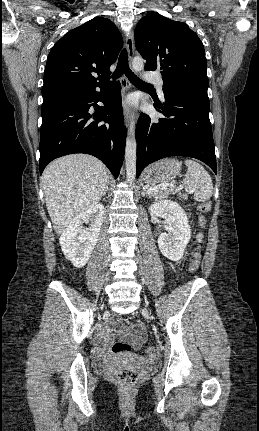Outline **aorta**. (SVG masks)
Instances as JSON below:
<instances>
[{
    "instance_id": "762f6f07",
    "label": "aorta",
    "mask_w": 259,
    "mask_h": 431,
    "mask_svg": "<svg viewBox=\"0 0 259 431\" xmlns=\"http://www.w3.org/2000/svg\"><path fill=\"white\" fill-rule=\"evenodd\" d=\"M132 67L136 72L143 70L144 60L141 57H135L132 61ZM136 148L135 121L134 116H132L125 149L126 177L130 184L134 182L136 177Z\"/></svg>"
}]
</instances>
